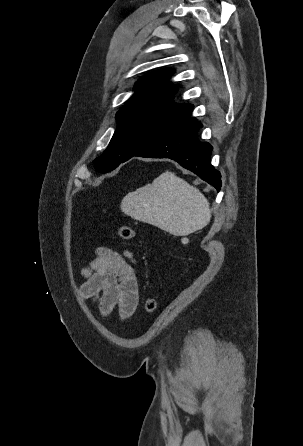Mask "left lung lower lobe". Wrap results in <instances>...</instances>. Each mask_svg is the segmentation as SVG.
I'll list each match as a JSON object with an SVG mask.
<instances>
[{
	"mask_svg": "<svg viewBox=\"0 0 303 446\" xmlns=\"http://www.w3.org/2000/svg\"><path fill=\"white\" fill-rule=\"evenodd\" d=\"M202 123L189 118L174 132L150 144L143 150L124 158L121 163L133 156L146 158H170L184 168L194 172L202 180L216 187H221V175L211 165L212 146L198 139V131Z\"/></svg>",
	"mask_w": 303,
	"mask_h": 446,
	"instance_id": "obj_1",
	"label": "left lung lower lobe"
}]
</instances>
